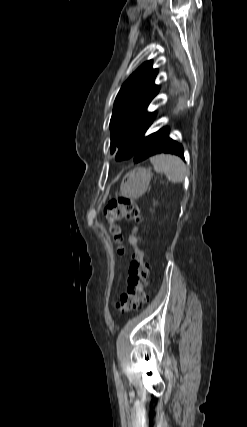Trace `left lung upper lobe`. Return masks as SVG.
<instances>
[{"label": "left lung upper lobe", "mask_w": 247, "mask_h": 427, "mask_svg": "<svg viewBox=\"0 0 247 427\" xmlns=\"http://www.w3.org/2000/svg\"><path fill=\"white\" fill-rule=\"evenodd\" d=\"M157 73L151 60L143 63L122 85L115 99L110 130L111 153L117 148L116 160L134 158L155 118V113L146 110L159 91L154 84Z\"/></svg>", "instance_id": "1"}]
</instances>
